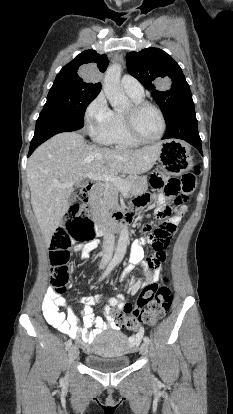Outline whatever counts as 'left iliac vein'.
<instances>
[{"instance_id":"1","label":"left iliac vein","mask_w":233,"mask_h":414,"mask_svg":"<svg viewBox=\"0 0 233 414\" xmlns=\"http://www.w3.org/2000/svg\"><path fill=\"white\" fill-rule=\"evenodd\" d=\"M148 352H149V349H148V345H147V343H142L141 344V346H140V353L143 355V356H147L148 355Z\"/></svg>"}]
</instances>
